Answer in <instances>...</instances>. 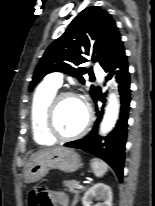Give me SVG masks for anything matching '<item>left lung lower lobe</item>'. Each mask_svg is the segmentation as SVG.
I'll list each match as a JSON object with an SVG mask.
<instances>
[{
    "label": "left lung lower lobe",
    "mask_w": 155,
    "mask_h": 206,
    "mask_svg": "<svg viewBox=\"0 0 155 206\" xmlns=\"http://www.w3.org/2000/svg\"><path fill=\"white\" fill-rule=\"evenodd\" d=\"M104 70L108 73L107 79H110L113 75H116V80L119 83L121 108L116 127L108 136L101 139V137L97 135V128L99 122L101 121L103 110L99 111L97 109V119L90 134L82 139L68 142L65 146L82 149L103 159L113 168L120 182H122L131 92L130 74L128 72V63L124 47L118 51L113 61ZM93 99L95 102L97 99L103 101V98L98 92L95 93Z\"/></svg>",
    "instance_id": "left-lung-lower-lobe-1"
}]
</instances>
